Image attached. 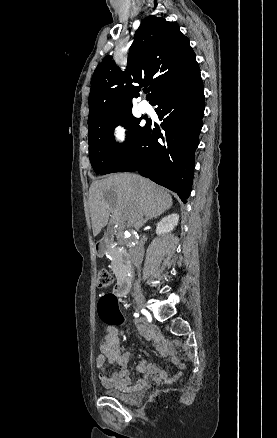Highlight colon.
Returning a JSON list of instances; mask_svg holds the SVG:
<instances>
[{
  "instance_id": "colon-1",
  "label": "colon",
  "mask_w": 277,
  "mask_h": 438,
  "mask_svg": "<svg viewBox=\"0 0 277 438\" xmlns=\"http://www.w3.org/2000/svg\"><path fill=\"white\" fill-rule=\"evenodd\" d=\"M96 284L99 289L108 288L113 283V276L108 272L105 268H100L95 275ZM116 300V298H114ZM102 344V340H100L99 345Z\"/></svg>"
}]
</instances>
